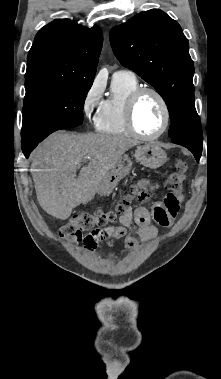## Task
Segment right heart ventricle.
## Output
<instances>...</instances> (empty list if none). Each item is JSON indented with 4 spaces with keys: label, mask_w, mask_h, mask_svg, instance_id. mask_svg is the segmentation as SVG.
I'll return each instance as SVG.
<instances>
[{
    "label": "right heart ventricle",
    "mask_w": 221,
    "mask_h": 379,
    "mask_svg": "<svg viewBox=\"0 0 221 379\" xmlns=\"http://www.w3.org/2000/svg\"><path fill=\"white\" fill-rule=\"evenodd\" d=\"M139 87L136 77L113 76L110 94L95 119L97 131L110 135L130 134L125 121V105L129 95Z\"/></svg>",
    "instance_id": "right-heart-ventricle-1"
}]
</instances>
